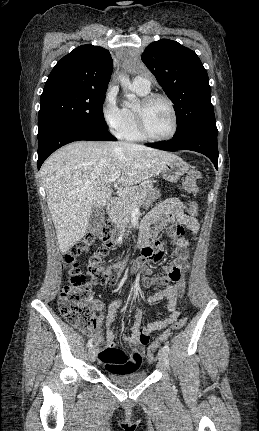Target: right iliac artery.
Here are the masks:
<instances>
[{
	"mask_svg": "<svg viewBox=\"0 0 259 431\" xmlns=\"http://www.w3.org/2000/svg\"><path fill=\"white\" fill-rule=\"evenodd\" d=\"M92 343H93V340H92V339H90V340L88 341V343H87V347H88V348H90V347L92 346Z\"/></svg>",
	"mask_w": 259,
	"mask_h": 431,
	"instance_id": "82829eb1",
	"label": "right iliac artery"
}]
</instances>
